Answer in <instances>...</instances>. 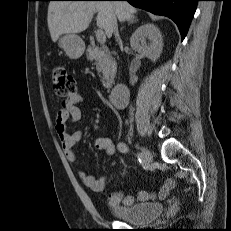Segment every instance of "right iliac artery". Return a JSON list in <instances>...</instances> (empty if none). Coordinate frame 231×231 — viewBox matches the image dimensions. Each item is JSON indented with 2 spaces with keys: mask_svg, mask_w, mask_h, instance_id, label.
I'll use <instances>...</instances> for the list:
<instances>
[{
  "mask_svg": "<svg viewBox=\"0 0 231 231\" xmlns=\"http://www.w3.org/2000/svg\"><path fill=\"white\" fill-rule=\"evenodd\" d=\"M118 150H119L120 152H122V153H128V152H129V147H128L125 143L120 142V143L118 144Z\"/></svg>",
  "mask_w": 231,
  "mask_h": 231,
  "instance_id": "obj_1",
  "label": "right iliac artery"
}]
</instances>
